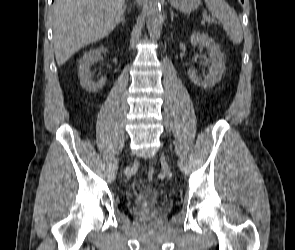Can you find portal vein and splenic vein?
<instances>
[{"instance_id": "18ae733b", "label": "portal vein and splenic vein", "mask_w": 295, "mask_h": 250, "mask_svg": "<svg viewBox=\"0 0 295 250\" xmlns=\"http://www.w3.org/2000/svg\"><path fill=\"white\" fill-rule=\"evenodd\" d=\"M204 19H207V20H210V17H208V16H204Z\"/></svg>"}]
</instances>
